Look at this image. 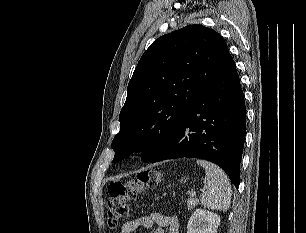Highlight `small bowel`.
Instances as JSON below:
<instances>
[{
	"instance_id": "obj_1",
	"label": "small bowel",
	"mask_w": 306,
	"mask_h": 233,
	"mask_svg": "<svg viewBox=\"0 0 306 233\" xmlns=\"http://www.w3.org/2000/svg\"><path fill=\"white\" fill-rule=\"evenodd\" d=\"M154 225L157 226L154 233H165V229L168 230V233H180L177 217L167 216L158 212L129 220L122 226L120 233H133L140 226L152 228Z\"/></svg>"
}]
</instances>
